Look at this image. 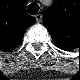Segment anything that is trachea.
<instances>
[{
  "instance_id": "3493384b",
  "label": "trachea",
  "mask_w": 80,
  "mask_h": 80,
  "mask_svg": "<svg viewBox=\"0 0 80 80\" xmlns=\"http://www.w3.org/2000/svg\"><path fill=\"white\" fill-rule=\"evenodd\" d=\"M27 11L29 14L31 15H35L38 13L39 11V5L38 4H35V3H32L30 4L28 7H27Z\"/></svg>"
}]
</instances>
